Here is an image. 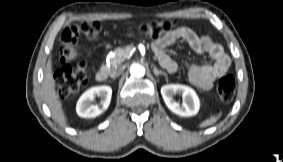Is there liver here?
Instances as JSON below:
<instances>
[{"label":"liver","instance_id":"liver-1","mask_svg":"<svg viewBox=\"0 0 283 162\" xmlns=\"http://www.w3.org/2000/svg\"><path fill=\"white\" fill-rule=\"evenodd\" d=\"M43 95L54 119L61 125L66 126L67 119L62 108V103L55 91L51 58L48 59L44 72Z\"/></svg>","mask_w":283,"mask_h":162}]
</instances>
